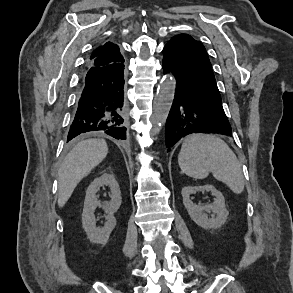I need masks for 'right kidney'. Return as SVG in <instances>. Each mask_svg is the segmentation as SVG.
<instances>
[{
    "instance_id": "1",
    "label": "right kidney",
    "mask_w": 293,
    "mask_h": 293,
    "mask_svg": "<svg viewBox=\"0 0 293 293\" xmlns=\"http://www.w3.org/2000/svg\"><path fill=\"white\" fill-rule=\"evenodd\" d=\"M108 186L110 188V201L101 203L98 201L96 193L100 187ZM122 203L119 184L113 174L104 173L99 178L94 179L86 191L84 208L82 213V226L93 243L105 245L109 236L116 226L114 213L119 209ZM97 207H102L105 211L106 222L103 228L96 227L94 211Z\"/></svg>"
}]
</instances>
